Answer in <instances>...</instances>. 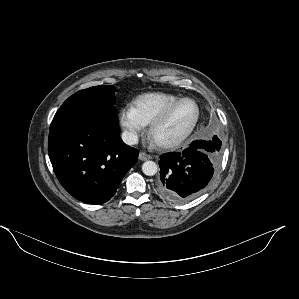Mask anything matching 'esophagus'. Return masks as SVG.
I'll return each instance as SVG.
<instances>
[{
    "mask_svg": "<svg viewBox=\"0 0 299 299\" xmlns=\"http://www.w3.org/2000/svg\"><path fill=\"white\" fill-rule=\"evenodd\" d=\"M151 158H152V156L148 153H145V152H140L139 153V159L142 160V161L149 160Z\"/></svg>",
    "mask_w": 299,
    "mask_h": 299,
    "instance_id": "obj_1",
    "label": "esophagus"
}]
</instances>
